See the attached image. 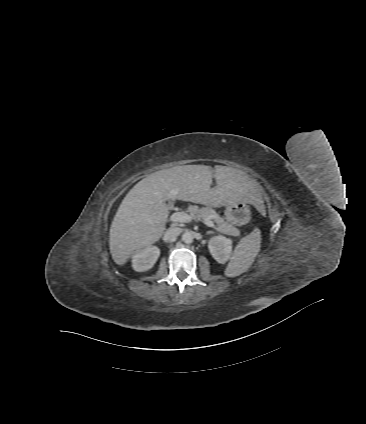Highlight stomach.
<instances>
[{"label":"stomach","instance_id":"1","mask_svg":"<svg viewBox=\"0 0 366 424\" xmlns=\"http://www.w3.org/2000/svg\"><path fill=\"white\" fill-rule=\"evenodd\" d=\"M242 216H250V210L247 203L234 202L226 205L225 217L226 220L231 224L239 225L242 223Z\"/></svg>","mask_w":366,"mask_h":424}]
</instances>
